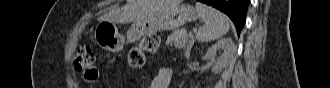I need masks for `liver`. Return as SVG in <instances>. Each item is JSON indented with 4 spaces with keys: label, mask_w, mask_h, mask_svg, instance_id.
<instances>
[{
    "label": "liver",
    "mask_w": 330,
    "mask_h": 88,
    "mask_svg": "<svg viewBox=\"0 0 330 88\" xmlns=\"http://www.w3.org/2000/svg\"><path fill=\"white\" fill-rule=\"evenodd\" d=\"M165 0H134L122 8L106 13L102 20H110L121 23L137 22L146 19Z\"/></svg>",
    "instance_id": "6515ba94"
}]
</instances>
